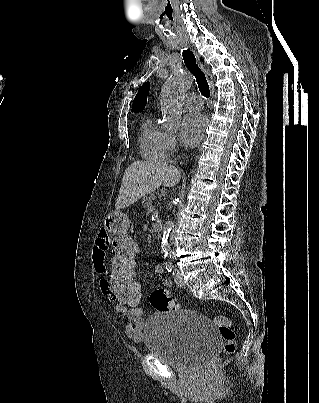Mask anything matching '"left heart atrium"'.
<instances>
[{
  "label": "left heart atrium",
  "instance_id": "left-heart-atrium-1",
  "mask_svg": "<svg viewBox=\"0 0 319 403\" xmlns=\"http://www.w3.org/2000/svg\"><path fill=\"white\" fill-rule=\"evenodd\" d=\"M207 126V119L202 113L192 112L187 114L181 123V138L183 143L192 147L203 137Z\"/></svg>",
  "mask_w": 319,
  "mask_h": 403
}]
</instances>
